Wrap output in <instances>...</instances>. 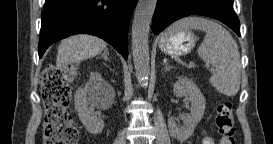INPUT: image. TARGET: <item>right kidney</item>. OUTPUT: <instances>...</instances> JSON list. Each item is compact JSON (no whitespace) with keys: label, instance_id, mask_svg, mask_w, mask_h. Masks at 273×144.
<instances>
[{"label":"right kidney","instance_id":"ca27d5eb","mask_svg":"<svg viewBox=\"0 0 273 144\" xmlns=\"http://www.w3.org/2000/svg\"><path fill=\"white\" fill-rule=\"evenodd\" d=\"M100 85L102 88L110 89V85L102 79L98 72H92L85 88L79 89L75 94V109L86 130L91 134H99L104 128V121L98 117L93 108H89L88 104L94 95V85ZM89 96V98L87 97Z\"/></svg>","mask_w":273,"mask_h":144}]
</instances>
